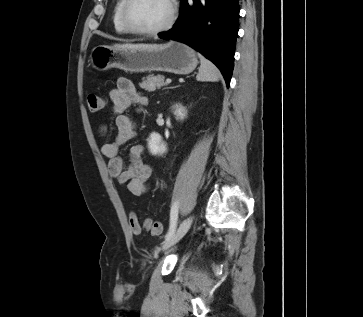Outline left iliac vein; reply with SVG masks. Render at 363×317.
Segmentation results:
<instances>
[{
    "label": "left iliac vein",
    "instance_id": "1",
    "mask_svg": "<svg viewBox=\"0 0 363 317\" xmlns=\"http://www.w3.org/2000/svg\"><path fill=\"white\" fill-rule=\"evenodd\" d=\"M193 216L188 217L185 219L180 226L178 227L177 231L162 245V250H167L173 245H175L189 230L193 222Z\"/></svg>",
    "mask_w": 363,
    "mask_h": 317
}]
</instances>
